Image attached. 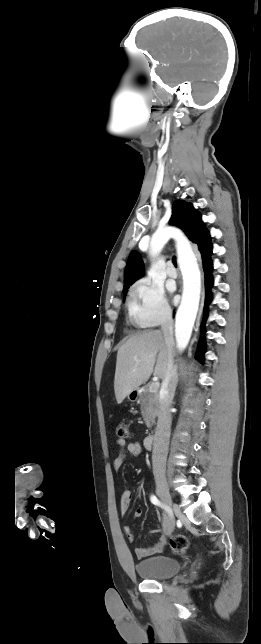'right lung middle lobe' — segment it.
Segmentation results:
<instances>
[{"label": "right lung middle lobe", "mask_w": 261, "mask_h": 644, "mask_svg": "<svg viewBox=\"0 0 261 644\" xmlns=\"http://www.w3.org/2000/svg\"><path fill=\"white\" fill-rule=\"evenodd\" d=\"M127 289H128V288H125V289H123V291H124V292H126V290H127ZM125 294H126V293H125ZM124 297H125V295H124Z\"/></svg>", "instance_id": "obj_1"}]
</instances>
